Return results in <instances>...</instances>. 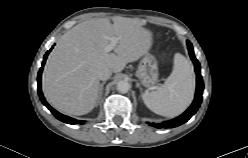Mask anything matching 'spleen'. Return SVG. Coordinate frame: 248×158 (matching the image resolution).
Listing matches in <instances>:
<instances>
[{
	"mask_svg": "<svg viewBox=\"0 0 248 158\" xmlns=\"http://www.w3.org/2000/svg\"><path fill=\"white\" fill-rule=\"evenodd\" d=\"M195 90L194 71L189 61L181 54L174 56V68L165 83L156 91H146L142 98L154 113L175 117L186 110L192 102Z\"/></svg>",
	"mask_w": 248,
	"mask_h": 158,
	"instance_id": "3e777b00",
	"label": "spleen"
}]
</instances>
